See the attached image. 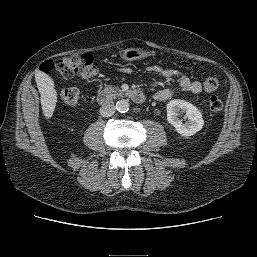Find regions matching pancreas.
Here are the masks:
<instances>
[{"label":"pancreas","instance_id":"obj_1","mask_svg":"<svg viewBox=\"0 0 257 257\" xmlns=\"http://www.w3.org/2000/svg\"><path fill=\"white\" fill-rule=\"evenodd\" d=\"M106 92L110 93V94H116L118 92H121L122 90L118 87H113L111 85L106 86L105 88Z\"/></svg>","mask_w":257,"mask_h":257}]
</instances>
